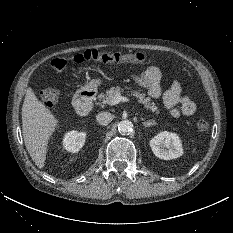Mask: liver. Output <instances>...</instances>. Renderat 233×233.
Instances as JSON below:
<instances>
[{
	"label": "liver",
	"mask_w": 233,
	"mask_h": 233,
	"mask_svg": "<svg viewBox=\"0 0 233 233\" xmlns=\"http://www.w3.org/2000/svg\"><path fill=\"white\" fill-rule=\"evenodd\" d=\"M58 122L29 87L22 106V133L28 153L39 168L44 167L48 140Z\"/></svg>",
	"instance_id": "1"
}]
</instances>
